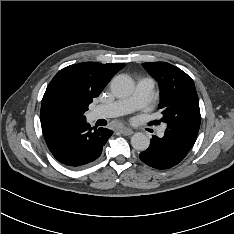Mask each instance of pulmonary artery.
<instances>
[{"label":"pulmonary artery","instance_id":"obj_1","mask_svg":"<svg viewBox=\"0 0 234 234\" xmlns=\"http://www.w3.org/2000/svg\"><path fill=\"white\" fill-rule=\"evenodd\" d=\"M154 81L151 78H142L138 81L133 95L127 99L117 100L108 105L98 106L91 113V119L110 118L121 116L134 109L144 106L149 102L154 89ZM164 134V128L158 130V135Z\"/></svg>","mask_w":234,"mask_h":234}]
</instances>
